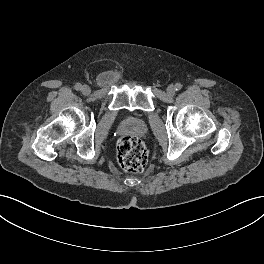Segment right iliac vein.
<instances>
[{"label": "right iliac vein", "mask_w": 264, "mask_h": 264, "mask_svg": "<svg viewBox=\"0 0 264 264\" xmlns=\"http://www.w3.org/2000/svg\"><path fill=\"white\" fill-rule=\"evenodd\" d=\"M81 91L84 95H88V94H90L91 89L88 85H84V86H82Z\"/></svg>", "instance_id": "63e3f726"}]
</instances>
